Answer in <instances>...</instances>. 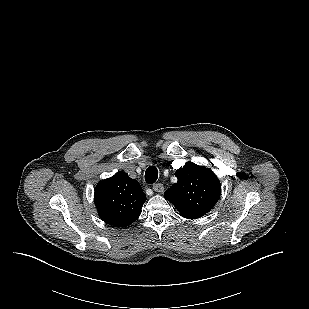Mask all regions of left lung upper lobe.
<instances>
[{
  "label": "left lung upper lobe",
  "instance_id": "left-lung-upper-lobe-1",
  "mask_svg": "<svg viewBox=\"0 0 309 309\" xmlns=\"http://www.w3.org/2000/svg\"><path fill=\"white\" fill-rule=\"evenodd\" d=\"M178 181L165 193L169 200L188 219H197L209 212L221 195V185L208 168L188 162L175 172Z\"/></svg>",
  "mask_w": 309,
  "mask_h": 309
}]
</instances>
